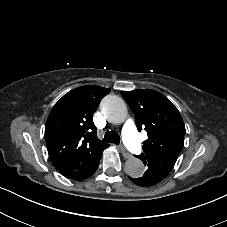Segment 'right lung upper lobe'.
Instances as JSON below:
<instances>
[{
  "label": "right lung upper lobe",
  "instance_id": "cb5924a9",
  "mask_svg": "<svg viewBox=\"0 0 227 227\" xmlns=\"http://www.w3.org/2000/svg\"><path fill=\"white\" fill-rule=\"evenodd\" d=\"M109 92L108 88L82 86L65 94L54 105L45 125V140L55 168L69 165L80 153L93 158L109 146L97 138L93 123V113Z\"/></svg>",
  "mask_w": 227,
  "mask_h": 227
}]
</instances>
